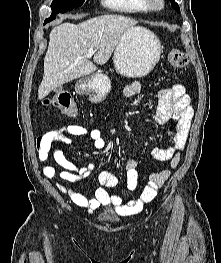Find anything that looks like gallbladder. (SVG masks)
Segmentation results:
<instances>
[{
    "label": "gallbladder",
    "mask_w": 221,
    "mask_h": 263,
    "mask_svg": "<svg viewBox=\"0 0 221 263\" xmlns=\"http://www.w3.org/2000/svg\"><path fill=\"white\" fill-rule=\"evenodd\" d=\"M62 87L61 86H59V87H56L55 89H54V92L55 93H59V92H61L62 91Z\"/></svg>",
    "instance_id": "1"
}]
</instances>
